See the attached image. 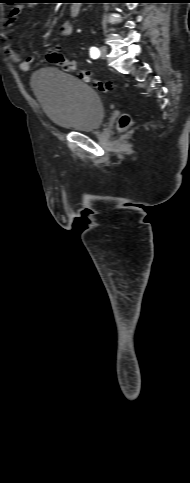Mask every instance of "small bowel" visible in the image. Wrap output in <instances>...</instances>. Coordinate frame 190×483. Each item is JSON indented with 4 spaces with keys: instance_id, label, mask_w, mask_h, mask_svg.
Returning a JSON list of instances; mask_svg holds the SVG:
<instances>
[{
    "instance_id": "small-bowel-1",
    "label": "small bowel",
    "mask_w": 190,
    "mask_h": 483,
    "mask_svg": "<svg viewBox=\"0 0 190 483\" xmlns=\"http://www.w3.org/2000/svg\"><path fill=\"white\" fill-rule=\"evenodd\" d=\"M31 9V6L24 5L13 8L11 11V16L7 21L6 28L1 34V41L3 43V49L6 56L14 63L19 65V68L28 72L31 68V63L33 58H21L13 49L11 45V39L14 33V20L20 13L27 12ZM58 34L61 38H70L73 34V26L70 22L63 23L58 30Z\"/></svg>"
}]
</instances>
